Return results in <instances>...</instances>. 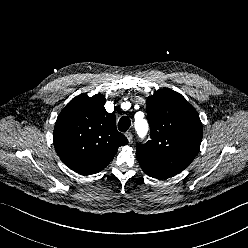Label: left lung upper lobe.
Returning <instances> with one entry per match:
<instances>
[{"instance_id": "left-lung-upper-lobe-1", "label": "left lung upper lobe", "mask_w": 248, "mask_h": 248, "mask_svg": "<svg viewBox=\"0 0 248 248\" xmlns=\"http://www.w3.org/2000/svg\"><path fill=\"white\" fill-rule=\"evenodd\" d=\"M150 140L138 145L136 156L149 176L164 179L183 171L196 157L202 140V123L185 98L163 88L147 99Z\"/></svg>"}]
</instances>
